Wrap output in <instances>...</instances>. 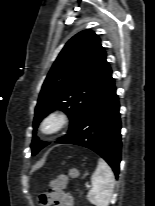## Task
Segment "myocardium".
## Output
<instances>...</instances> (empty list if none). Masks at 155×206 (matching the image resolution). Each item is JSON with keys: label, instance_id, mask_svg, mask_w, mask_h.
<instances>
[{"label": "myocardium", "instance_id": "1", "mask_svg": "<svg viewBox=\"0 0 155 206\" xmlns=\"http://www.w3.org/2000/svg\"><path fill=\"white\" fill-rule=\"evenodd\" d=\"M70 120V115L66 111L53 110L44 117L41 123V131L45 135H55L65 129Z\"/></svg>", "mask_w": 155, "mask_h": 206}]
</instances>
